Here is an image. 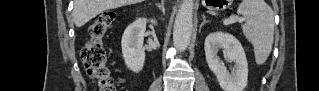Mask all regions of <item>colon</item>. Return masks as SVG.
I'll return each instance as SVG.
<instances>
[{"label":"colon","instance_id":"obj_1","mask_svg":"<svg viewBox=\"0 0 319 91\" xmlns=\"http://www.w3.org/2000/svg\"><path fill=\"white\" fill-rule=\"evenodd\" d=\"M114 13L100 14L90 26V36L82 52V61L88 76L93 80L96 90L114 91L115 86L107 67L104 37L114 20Z\"/></svg>","mask_w":319,"mask_h":91}]
</instances>
